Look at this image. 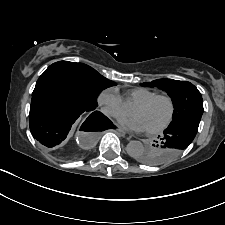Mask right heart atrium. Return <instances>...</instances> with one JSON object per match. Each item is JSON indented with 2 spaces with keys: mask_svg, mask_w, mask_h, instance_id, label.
Instances as JSON below:
<instances>
[{
  "mask_svg": "<svg viewBox=\"0 0 225 225\" xmlns=\"http://www.w3.org/2000/svg\"><path fill=\"white\" fill-rule=\"evenodd\" d=\"M101 111L109 117H117L124 111V102L114 88L102 90L97 98Z\"/></svg>",
  "mask_w": 225,
  "mask_h": 225,
  "instance_id": "obj_1",
  "label": "right heart atrium"
}]
</instances>
